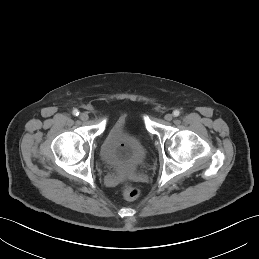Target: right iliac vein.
Returning <instances> with one entry per match:
<instances>
[{"mask_svg":"<svg viewBox=\"0 0 259 259\" xmlns=\"http://www.w3.org/2000/svg\"><path fill=\"white\" fill-rule=\"evenodd\" d=\"M88 118H89V116H88L87 113H81V114H80V119H81L82 121H86V120H88Z\"/></svg>","mask_w":259,"mask_h":259,"instance_id":"1","label":"right iliac vein"}]
</instances>
